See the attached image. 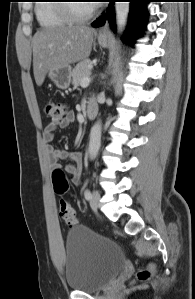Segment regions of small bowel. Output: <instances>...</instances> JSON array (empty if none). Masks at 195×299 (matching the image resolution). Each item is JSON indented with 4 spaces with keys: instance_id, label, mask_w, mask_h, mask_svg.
Listing matches in <instances>:
<instances>
[{
    "instance_id": "small-bowel-1",
    "label": "small bowel",
    "mask_w": 195,
    "mask_h": 299,
    "mask_svg": "<svg viewBox=\"0 0 195 299\" xmlns=\"http://www.w3.org/2000/svg\"><path fill=\"white\" fill-rule=\"evenodd\" d=\"M73 121L74 115L70 113L60 122L48 124L43 132V139L47 143H50L54 139L55 133L58 129L68 128ZM47 152L52 164L54 165L62 160H69L65 169L67 172L72 174V182L78 185L82 174L83 154L81 152H69L64 149H58L50 144L47 145Z\"/></svg>"
}]
</instances>
